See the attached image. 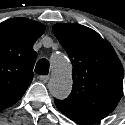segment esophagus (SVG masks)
<instances>
[{
    "label": "esophagus",
    "mask_w": 125,
    "mask_h": 125,
    "mask_svg": "<svg viewBox=\"0 0 125 125\" xmlns=\"http://www.w3.org/2000/svg\"><path fill=\"white\" fill-rule=\"evenodd\" d=\"M38 79L46 82L50 79V76L49 75H41V76H38Z\"/></svg>",
    "instance_id": "obj_1"
}]
</instances>
